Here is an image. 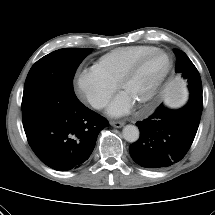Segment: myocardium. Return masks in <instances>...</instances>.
Segmentation results:
<instances>
[{
    "label": "myocardium",
    "mask_w": 215,
    "mask_h": 215,
    "mask_svg": "<svg viewBox=\"0 0 215 215\" xmlns=\"http://www.w3.org/2000/svg\"><path fill=\"white\" fill-rule=\"evenodd\" d=\"M156 54H162L164 56L167 57V66L164 70V72L162 73V75L160 76V78L157 80V82L155 83V85L153 86V88L151 89V91L147 94V96H145L142 100L139 101V104H146L150 101H152L156 95L158 94V92L160 91V89L162 88V86L164 85L165 81L167 80L169 73L171 71L172 68V58L171 56L164 50L162 49H158L155 48L145 54H143L142 56H140L138 59H136L130 66L129 68L125 71V73L122 75V77L120 78L117 86L118 89L120 91H122V89L124 88V86L133 79V77L137 74L138 70L141 68V66L152 56L156 55Z\"/></svg>",
    "instance_id": "f54148a6"
}]
</instances>
